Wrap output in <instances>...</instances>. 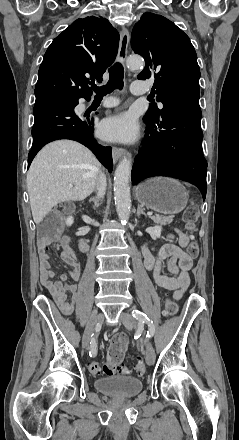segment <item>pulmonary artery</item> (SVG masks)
<instances>
[{"mask_svg": "<svg viewBox=\"0 0 239 440\" xmlns=\"http://www.w3.org/2000/svg\"><path fill=\"white\" fill-rule=\"evenodd\" d=\"M148 89L149 88L144 86L143 83L140 81H136L130 85V91L135 95L143 94ZM117 104H118V102L114 101V102H110V103H104L103 106L104 107H113V106H116Z\"/></svg>", "mask_w": 239, "mask_h": 440, "instance_id": "e3ab8cb5", "label": "pulmonary artery"}]
</instances>
